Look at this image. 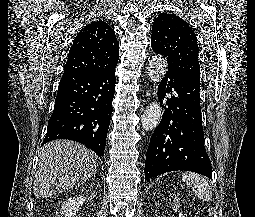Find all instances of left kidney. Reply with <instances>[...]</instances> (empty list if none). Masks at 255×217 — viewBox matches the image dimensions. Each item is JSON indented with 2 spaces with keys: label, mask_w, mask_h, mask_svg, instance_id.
<instances>
[{
  "label": "left kidney",
  "mask_w": 255,
  "mask_h": 217,
  "mask_svg": "<svg viewBox=\"0 0 255 217\" xmlns=\"http://www.w3.org/2000/svg\"><path fill=\"white\" fill-rule=\"evenodd\" d=\"M179 207V203L178 200L175 198L174 199V206H173V210L177 211V208ZM179 217H184V215L180 214Z\"/></svg>",
  "instance_id": "left-kidney-1"
}]
</instances>
